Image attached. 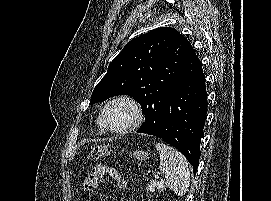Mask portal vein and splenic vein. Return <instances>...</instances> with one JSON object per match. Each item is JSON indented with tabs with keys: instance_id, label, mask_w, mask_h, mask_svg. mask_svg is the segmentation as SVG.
I'll return each mask as SVG.
<instances>
[{
	"instance_id": "obj_1",
	"label": "portal vein and splenic vein",
	"mask_w": 271,
	"mask_h": 201,
	"mask_svg": "<svg viewBox=\"0 0 271 201\" xmlns=\"http://www.w3.org/2000/svg\"><path fill=\"white\" fill-rule=\"evenodd\" d=\"M159 177H160L159 175H155L154 176L155 179H159Z\"/></svg>"
}]
</instances>
